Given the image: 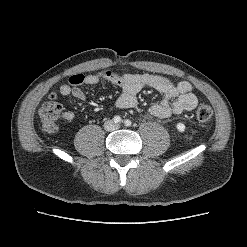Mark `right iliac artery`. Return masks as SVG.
<instances>
[{"label":"right iliac artery","mask_w":247,"mask_h":247,"mask_svg":"<svg viewBox=\"0 0 247 247\" xmlns=\"http://www.w3.org/2000/svg\"><path fill=\"white\" fill-rule=\"evenodd\" d=\"M113 121L118 124L121 122V117L120 116H114Z\"/></svg>","instance_id":"82829eb1"}]
</instances>
